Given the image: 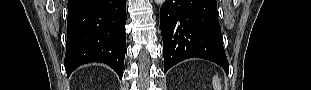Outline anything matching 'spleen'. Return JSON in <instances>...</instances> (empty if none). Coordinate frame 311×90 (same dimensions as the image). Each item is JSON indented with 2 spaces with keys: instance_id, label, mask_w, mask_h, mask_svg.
I'll use <instances>...</instances> for the list:
<instances>
[{
  "instance_id": "1",
  "label": "spleen",
  "mask_w": 311,
  "mask_h": 90,
  "mask_svg": "<svg viewBox=\"0 0 311 90\" xmlns=\"http://www.w3.org/2000/svg\"><path fill=\"white\" fill-rule=\"evenodd\" d=\"M212 84H213L214 90H221L220 80L217 76L213 77Z\"/></svg>"
}]
</instances>
